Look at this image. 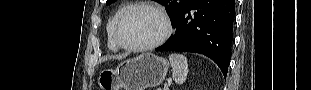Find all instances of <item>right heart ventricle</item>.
<instances>
[{
	"label": "right heart ventricle",
	"mask_w": 311,
	"mask_h": 90,
	"mask_svg": "<svg viewBox=\"0 0 311 90\" xmlns=\"http://www.w3.org/2000/svg\"><path fill=\"white\" fill-rule=\"evenodd\" d=\"M131 5L129 3H124L122 5H120L115 12L113 13V15L110 17L108 23H107V27H106V32H107V44L109 49L116 51L118 50L120 47L118 46V44L115 41L114 38V27H115V23L118 19V17L126 10L130 7Z\"/></svg>",
	"instance_id": "right-heart-ventricle-1"
}]
</instances>
